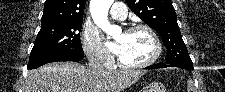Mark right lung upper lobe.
<instances>
[{"label": "right lung upper lobe", "mask_w": 225, "mask_h": 92, "mask_svg": "<svg viewBox=\"0 0 225 92\" xmlns=\"http://www.w3.org/2000/svg\"><path fill=\"white\" fill-rule=\"evenodd\" d=\"M84 8L85 0H46L41 24L83 22Z\"/></svg>", "instance_id": "1"}]
</instances>
